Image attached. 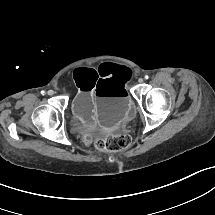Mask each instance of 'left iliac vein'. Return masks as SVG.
Returning a JSON list of instances; mask_svg holds the SVG:
<instances>
[{
  "instance_id": "1",
  "label": "left iliac vein",
  "mask_w": 215,
  "mask_h": 215,
  "mask_svg": "<svg viewBox=\"0 0 215 215\" xmlns=\"http://www.w3.org/2000/svg\"><path fill=\"white\" fill-rule=\"evenodd\" d=\"M143 81H144L143 78H139V79H138V82H139V83H143Z\"/></svg>"
}]
</instances>
